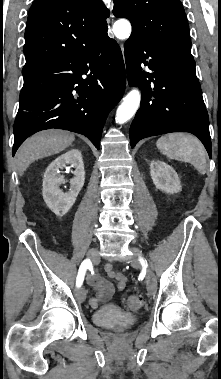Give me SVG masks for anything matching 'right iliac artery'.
I'll return each mask as SVG.
<instances>
[{"label": "right iliac artery", "mask_w": 221, "mask_h": 379, "mask_svg": "<svg viewBox=\"0 0 221 379\" xmlns=\"http://www.w3.org/2000/svg\"><path fill=\"white\" fill-rule=\"evenodd\" d=\"M91 266H92V263H91L90 259H86L81 263L79 271H78V275L76 278V286L78 288L81 287L83 280H84V277H85V273H86L87 269H89Z\"/></svg>", "instance_id": "1"}]
</instances>
